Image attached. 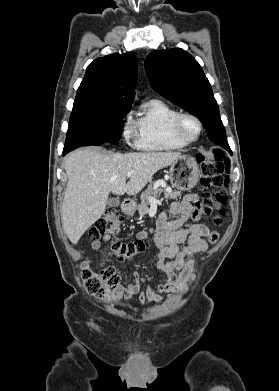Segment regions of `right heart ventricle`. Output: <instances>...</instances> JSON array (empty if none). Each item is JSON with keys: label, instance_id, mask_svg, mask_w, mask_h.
Wrapping results in <instances>:
<instances>
[{"label": "right heart ventricle", "instance_id": "right-heart-ventricle-1", "mask_svg": "<svg viewBox=\"0 0 279 391\" xmlns=\"http://www.w3.org/2000/svg\"><path fill=\"white\" fill-rule=\"evenodd\" d=\"M178 113L176 108L162 100L146 102L135 121L137 147L146 151H172L186 147L172 131Z\"/></svg>", "mask_w": 279, "mask_h": 391}]
</instances>
